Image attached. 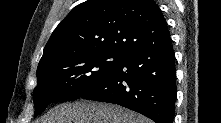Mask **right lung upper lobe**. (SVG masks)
<instances>
[{
	"label": "right lung upper lobe",
	"instance_id": "obj_1",
	"mask_svg": "<svg viewBox=\"0 0 221 123\" xmlns=\"http://www.w3.org/2000/svg\"><path fill=\"white\" fill-rule=\"evenodd\" d=\"M169 38L166 20L154 0H88L59 23L38 66L92 50L127 54Z\"/></svg>",
	"mask_w": 221,
	"mask_h": 123
}]
</instances>
